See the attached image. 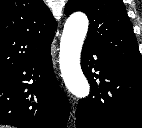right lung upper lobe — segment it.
I'll return each instance as SVG.
<instances>
[{
  "instance_id": "obj_1",
  "label": "right lung upper lobe",
  "mask_w": 142,
  "mask_h": 128,
  "mask_svg": "<svg viewBox=\"0 0 142 128\" xmlns=\"http://www.w3.org/2000/svg\"><path fill=\"white\" fill-rule=\"evenodd\" d=\"M56 22L42 0H0V76L42 54Z\"/></svg>"
}]
</instances>
